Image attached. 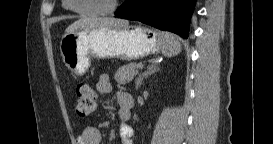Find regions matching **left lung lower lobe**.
Masks as SVG:
<instances>
[{
  "instance_id": "obj_1",
  "label": "left lung lower lobe",
  "mask_w": 273,
  "mask_h": 144,
  "mask_svg": "<svg viewBox=\"0 0 273 144\" xmlns=\"http://www.w3.org/2000/svg\"><path fill=\"white\" fill-rule=\"evenodd\" d=\"M196 0H126L115 12L118 18L140 21L188 38Z\"/></svg>"
}]
</instances>
